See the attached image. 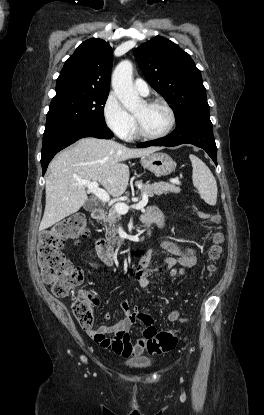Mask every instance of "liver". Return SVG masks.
Here are the masks:
<instances>
[{
	"instance_id": "1",
	"label": "liver",
	"mask_w": 264,
	"mask_h": 415,
	"mask_svg": "<svg viewBox=\"0 0 264 415\" xmlns=\"http://www.w3.org/2000/svg\"><path fill=\"white\" fill-rule=\"evenodd\" d=\"M158 150L159 147L128 148L113 140L83 138L60 152L49 165L46 205L39 229L53 226L86 203V186L79 181L100 183L111 196H121L130 176L123 162Z\"/></svg>"
}]
</instances>
